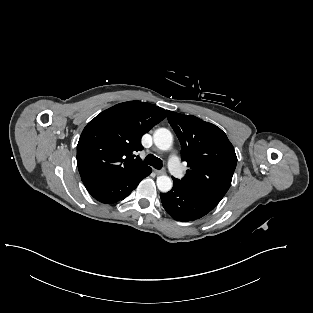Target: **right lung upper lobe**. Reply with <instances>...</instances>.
Returning a JSON list of instances; mask_svg holds the SVG:
<instances>
[{
  "label": "right lung upper lobe",
  "mask_w": 313,
  "mask_h": 313,
  "mask_svg": "<svg viewBox=\"0 0 313 313\" xmlns=\"http://www.w3.org/2000/svg\"><path fill=\"white\" fill-rule=\"evenodd\" d=\"M167 114L168 110L135 100L117 104L91 120L77 145V165L85 187L146 169L134 153L143 149L141 137Z\"/></svg>",
  "instance_id": "obj_1"
}]
</instances>
